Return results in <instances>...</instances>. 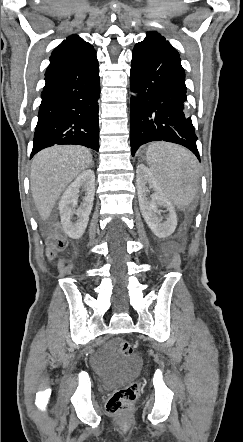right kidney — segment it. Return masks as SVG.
<instances>
[{"label": "right kidney", "instance_id": "1", "mask_svg": "<svg viewBox=\"0 0 243 442\" xmlns=\"http://www.w3.org/2000/svg\"><path fill=\"white\" fill-rule=\"evenodd\" d=\"M80 188L85 192V197L79 209L74 206L78 202ZM95 193V174L92 170L83 171L64 191L59 202V212L62 226L66 234L79 239L87 227L89 215L93 207ZM77 215V220L73 221V215Z\"/></svg>", "mask_w": 243, "mask_h": 442}]
</instances>
